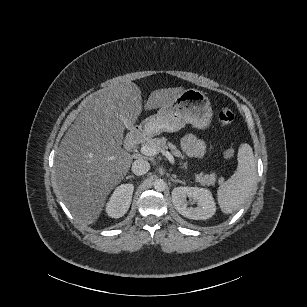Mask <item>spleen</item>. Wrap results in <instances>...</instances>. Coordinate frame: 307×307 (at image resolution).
Instances as JSON below:
<instances>
[{"label":"spleen","instance_id":"obj_1","mask_svg":"<svg viewBox=\"0 0 307 307\" xmlns=\"http://www.w3.org/2000/svg\"><path fill=\"white\" fill-rule=\"evenodd\" d=\"M256 162L252 148L243 144L239 148L238 165L234 174L220 185L218 198L225 213H232L256 191Z\"/></svg>","mask_w":307,"mask_h":307}]
</instances>
